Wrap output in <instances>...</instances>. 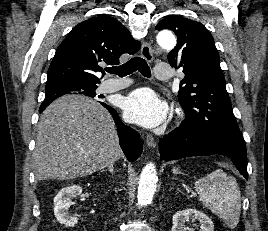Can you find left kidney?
<instances>
[{
  "mask_svg": "<svg viewBox=\"0 0 268 231\" xmlns=\"http://www.w3.org/2000/svg\"><path fill=\"white\" fill-rule=\"evenodd\" d=\"M198 220L201 224L199 231H213L214 224L211 219L204 213L197 211L196 209L187 208L185 210L178 211L173 216L172 231H193L186 223L189 220Z\"/></svg>",
  "mask_w": 268,
  "mask_h": 231,
  "instance_id": "1",
  "label": "left kidney"
}]
</instances>
